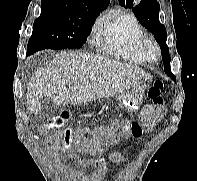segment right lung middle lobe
Listing matches in <instances>:
<instances>
[{
  "label": "right lung middle lobe",
  "instance_id": "obj_1",
  "mask_svg": "<svg viewBox=\"0 0 197 181\" xmlns=\"http://www.w3.org/2000/svg\"><path fill=\"white\" fill-rule=\"evenodd\" d=\"M98 15L63 16L41 12L33 25L27 45L28 55L44 49L80 48Z\"/></svg>",
  "mask_w": 197,
  "mask_h": 181
}]
</instances>
